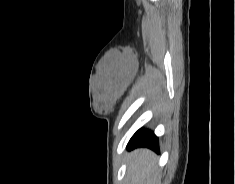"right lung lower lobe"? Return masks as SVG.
Masks as SVG:
<instances>
[{"instance_id": "1", "label": "right lung lower lobe", "mask_w": 235, "mask_h": 184, "mask_svg": "<svg viewBox=\"0 0 235 184\" xmlns=\"http://www.w3.org/2000/svg\"><path fill=\"white\" fill-rule=\"evenodd\" d=\"M138 147H147L159 153L158 138L150 130H138L128 143V150Z\"/></svg>"}]
</instances>
